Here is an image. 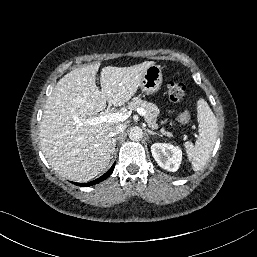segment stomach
Segmentation results:
<instances>
[{"instance_id": "1", "label": "stomach", "mask_w": 257, "mask_h": 257, "mask_svg": "<svg viewBox=\"0 0 257 257\" xmlns=\"http://www.w3.org/2000/svg\"><path fill=\"white\" fill-rule=\"evenodd\" d=\"M162 84V67L160 65H151L145 71L140 88L147 94H153L158 91Z\"/></svg>"}]
</instances>
